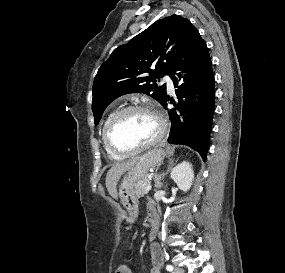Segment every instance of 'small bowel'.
<instances>
[{"mask_svg":"<svg viewBox=\"0 0 285 273\" xmlns=\"http://www.w3.org/2000/svg\"><path fill=\"white\" fill-rule=\"evenodd\" d=\"M156 209L152 204H149L147 207L148 214L151 210ZM151 260H152V268L150 273H161L160 267L163 262L162 253L158 247V245H153L151 247ZM124 267L127 272L126 273H133V270L127 266Z\"/></svg>","mask_w":285,"mask_h":273,"instance_id":"c3829d8e","label":"small bowel"}]
</instances>
